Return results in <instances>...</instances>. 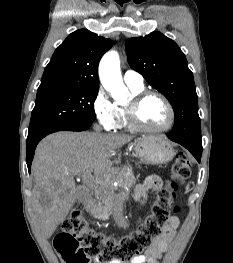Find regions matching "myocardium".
I'll list each match as a JSON object with an SVG mask.
<instances>
[{"label":"myocardium","mask_w":233,"mask_h":263,"mask_svg":"<svg viewBox=\"0 0 233 263\" xmlns=\"http://www.w3.org/2000/svg\"><path fill=\"white\" fill-rule=\"evenodd\" d=\"M150 96H156L160 98L168 110V114H169L168 122L162 127H158V128L148 127V126L143 125L139 120V117H138L139 108L142 102L147 97H150ZM125 114H126L128 126L131 129L140 131V132H149V133L165 132L169 130L174 125V122H175V111H174V108L171 102L164 94L158 91H154V90H143V91H140L132 95L130 102L125 107Z\"/></svg>","instance_id":"myocardium-1"}]
</instances>
